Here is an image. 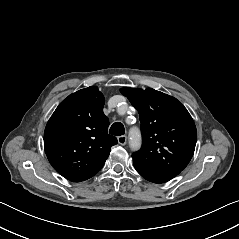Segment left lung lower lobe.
Returning <instances> with one entry per match:
<instances>
[{"mask_svg": "<svg viewBox=\"0 0 239 239\" xmlns=\"http://www.w3.org/2000/svg\"><path fill=\"white\" fill-rule=\"evenodd\" d=\"M134 167L142 177L154 183L167 182L181 172V171L151 169V168H146V167H142L135 164H134Z\"/></svg>", "mask_w": 239, "mask_h": 239, "instance_id": "1", "label": "left lung lower lobe"}]
</instances>
